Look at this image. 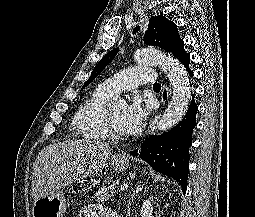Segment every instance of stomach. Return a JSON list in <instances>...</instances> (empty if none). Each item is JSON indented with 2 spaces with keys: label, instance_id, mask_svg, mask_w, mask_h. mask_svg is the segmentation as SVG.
I'll return each instance as SVG.
<instances>
[{
  "label": "stomach",
  "instance_id": "obj_1",
  "mask_svg": "<svg viewBox=\"0 0 255 217\" xmlns=\"http://www.w3.org/2000/svg\"><path fill=\"white\" fill-rule=\"evenodd\" d=\"M111 167L115 171L126 170L129 161L125 155L115 154L110 159ZM67 209L66 199L61 191L36 200L33 204V217H63Z\"/></svg>",
  "mask_w": 255,
  "mask_h": 217
}]
</instances>
